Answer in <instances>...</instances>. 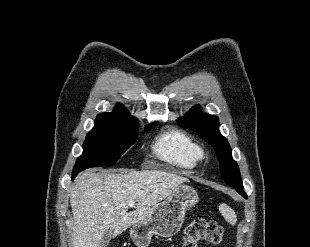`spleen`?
Instances as JSON below:
<instances>
[{"mask_svg": "<svg viewBox=\"0 0 310 247\" xmlns=\"http://www.w3.org/2000/svg\"><path fill=\"white\" fill-rule=\"evenodd\" d=\"M219 210L223 215L224 219L231 225H235L237 222V217L235 212L226 204H221L219 206Z\"/></svg>", "mask_w": 310, "mask_h": 247, "instance_id": "obj_1", "label": "spleen"}]
</instances>
